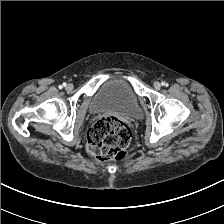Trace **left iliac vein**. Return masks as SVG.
<instances>
[{
	"label": "left iliac vein",
	"mask_w": 224,
	"mask_h": 224,
	"mask_svg": "<svg viewBox=\"0 0 224 224\" xmlns=\"http://www.w3.org/2000/svg\"><path fill=\"white\" fill-rule=\"evenodd\" d=\"M153 85H154V88L157 89V90H159L161 88V83L158 82V81L154 82Z\"/></svg>",
	"instance_id": "4c4485c4"
}]
</instances>
